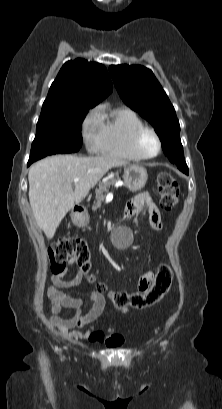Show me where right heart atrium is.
Segmentation results:
<instances>
[{
  "label": "right heart atrium",
  "mask_w": 222,
  "mask_h": 409,
  "mask_svg": "<svg viewBox=\"0 0 222 409\" xmlns=\"http://www.w3.org/2000/svg\"><path fill=\"white\" fill-rule=\"evenodd\" d=\"M81 131L88 150H98L101 135V116L99 108H93L86 114L82 122Z\"/></svg>",
  "instance_id": "right-heart-atrium-1"
}]
</instances>
